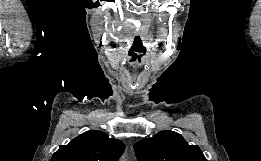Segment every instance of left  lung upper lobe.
I'll use <instances>...</instances> for the list:
<instances>
[{
    "instance_id": "left-lung-upper-lobe-1",
    "label": "left lung upper lobe",
    "mask_w": 261,
    "mask_h": 161,
    "mask_svg": "<svg viewBox=\"0 0 261 161\" xmlns=\"http://www.w3.org/2000/svg\"><path fill=\"white\" fill-rule=\"evenodd\" d=\"M138 161H207L197 145H189L173 131L164 130L134 145Z\"/></svg>"
}]
</instances>
